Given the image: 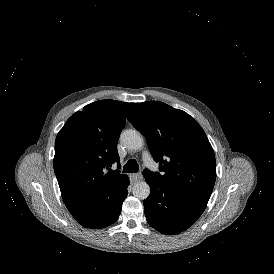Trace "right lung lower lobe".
I'll use <instances>...</instances> for the list:
<instances>
[{"instance_id":"1","label":"right lung lower lobe","mask_w":274,"mask_h":274,"mask_svg":"<svg viewBox=\"0 0 274 274\" xmlns=\"http://www.w3.org/2000/svg\"><path fill=\"white\" fill-rule=\"evenodd\" d=\"M128 185L129 179L112 193L96 216L83 218L77 221L82 226L93 229L104 228L114 223L121 213L122 203L127 196Z\"/></svg>"}]
</instances>
